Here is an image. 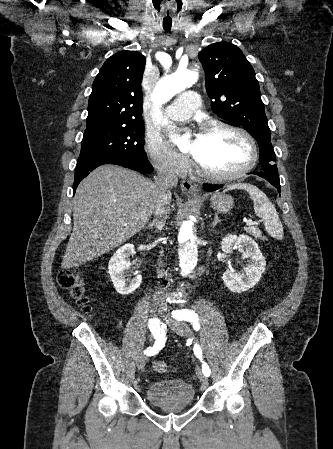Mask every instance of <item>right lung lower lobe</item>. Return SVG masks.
<instances>
[{
  "label": "right lung lower lobe",
  "mask_w": 333,
  "mask_h": 449,
  "mask_svg": "<svg viewBox=\"0 0 333 449\" xmlns=\"http://www.w3.org/2000/svg\"><path fill=\"white\" fill-rule=\"evenodd\" d=\"M104 164L120 165L143 174L151 173L153 171V166L148 160H125L120 157L107 156L79 158L76 166L73 194L75 193V190L80 181L85 178L89 174V172L94 170L96 167Z\"/></svg>",
  "instance_id": "98d812e1"
}]
</instances>
